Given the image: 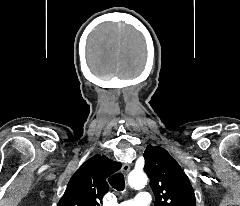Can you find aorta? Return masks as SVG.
Wrapping results in <instances>:
<instances>
[{"mask_svg": "<svg viewBox=\"0 0 240 206\" xmlns=\"http://www.w3.org/2000/svg\"><path fill=\"white\" fill-rule=\"evenodd\" d=\"M147 176L142 171H132L128 176V184L132 188H142L147 183Z\"/></svg>", "mask_w": 240, "mask_h": 206, "instance_id": "1", "label": "aorta"}]
</instances>
